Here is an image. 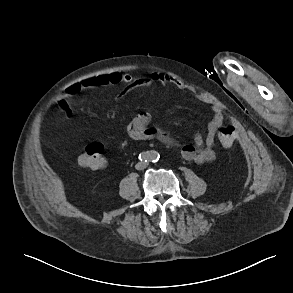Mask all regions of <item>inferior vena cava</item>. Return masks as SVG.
<instances>
[{"mask_svg": "<svg viewBox=\"0 0 293 293\" xmlns=\"http://www.w3.org/2000/svg\"><path fill=\"white\" fill-rule=\"evenodd\" d=\"M146 165H147V164H146L145 162L140 163V164H137V165H136V169H138V170H139V169H143V168L146 167Z\"/></svg>", "mask_w": 293, "mask_h": 293, "instance_id": "1", "label": "inferior vena cava"}]
</instances>
